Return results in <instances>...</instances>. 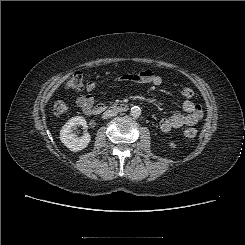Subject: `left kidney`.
<instances>
[{
    "mask_svg": "<svg viewBox=\"0 0 245 245\" xmlns=\"http://www.w3.org/2000/svg\"><path fill=\"white\" fill-rule=\"evenodd\" d=\"M169 146H170V148H172V149L176 148V144H174V143H172V142L169 143Z\"/></svg>",
    "mask_w": 245,
    "mask_h": 245,
    "instance_id": "left-kidney-1",
    "label": "left kidney"
}]
</instances>
